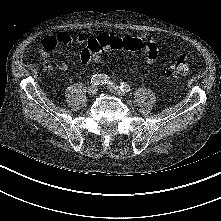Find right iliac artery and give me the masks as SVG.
Segmentation results:
<instances>
[{
    "instance_id": "1",
    "label": "right iliac artery",
    "mask_w": 221,
    "mask_h": 221,
    "mask_svg": "<svg viewBox=\"0 0 221 221\" xmlns=\"http://www.w3.org/2000/svg\"><path fill=\"white\" fill-rule=\"evenodd\" d=\"M109 82V77L106 74H96L91 78V83L94 85H103Z\"/></svg>"
}]
</instances>
